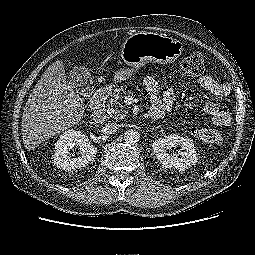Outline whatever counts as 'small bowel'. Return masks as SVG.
<instances>
[{"mask_svg": "<svg viewBox=\"0 0 255 255\" xmlns=\"http://www.w3.org/2000/svg\"><path fill=\"white\" fill-rule=\"evenodd\" d=\"M144 86L151 99V115L154 119L162 118L167 112L172 110L175 93L173 88L167 89L163 94L160 93L159 83L153 77H147L144 79ZM198 83L205 90L212 94L219 95L223 91V86L219 84L211 76L205 75L198 79ZM215 105L209 103L206 106L207 111H215ZM218 120H222V116H218Z\"/></svg>", "mask_w": 255, "mask_h": 255, "instance_id": "c3829d8e", "label": "small bowel"}]
</instances>
